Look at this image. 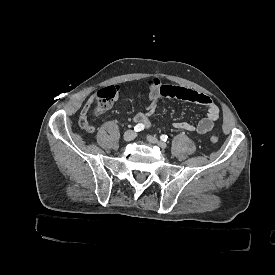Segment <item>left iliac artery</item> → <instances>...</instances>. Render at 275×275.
<instances>
[{"label":"left iliac artery","mask_w":275,"mask_h":275,"mask_svg":"<svg viewBox=\"0 0 275 275\" xmlns=\"http://www.w3.org/2000/svg\"><path fill=\"white\" fill-rule=\"evenodd\" d=\"M160 139H161L162 141L166 142V141H167V139H168V136H167V135L162 134V135L160 136Z\"/></svg>","instance_id":"1"}]
</instances>
